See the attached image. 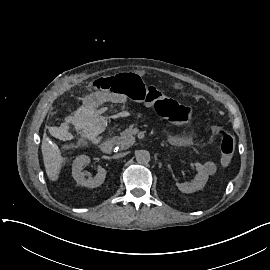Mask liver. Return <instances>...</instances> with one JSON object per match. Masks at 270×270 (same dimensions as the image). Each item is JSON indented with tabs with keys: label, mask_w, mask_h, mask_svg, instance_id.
Returning a JSON list of instances; mask_svg holds the SVG:
<instances>
[{
	"label": "liver",
	"mask_w": 270,
	"mask_h": 270,
	"mask_svg": "<svg viewBox=\"0 0 270 270\" xmlns=\"http://www.w3.org/2000/svg\"><path fill=\"white\" fill-rule=\"evenodd\" d=\"M41 149L46 173L50 180L56 181L58 179L61 164L64 160L61 156V152L57 145L50 144L46 140L45 135L42 141Z\"/></svg>",
	"instance_id": "1"
}]
</instances>
